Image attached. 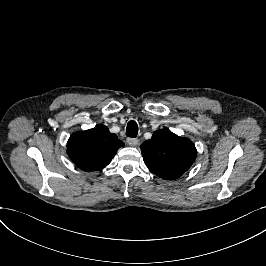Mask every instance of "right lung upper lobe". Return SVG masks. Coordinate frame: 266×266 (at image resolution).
Masks as SVG:
<instances>
[{
  "label": "right lung upper lobe",
  "mask_w": 266,
  "mask_h": 266,
  "mask_svg": "<svg viewBox=\"0 0 266 266\" xmlns=\"http://www.w3.org/2000/svg\"><path fill=\"white\" fill-rule=\"evenodd\" d=\"M120 147H124V143L117 135L100 125L73 133L68 141L67 154L80 169L96 171L108 165Z\"/></svg>",
  "instance_id": "obj_1"
}]
</instances>
